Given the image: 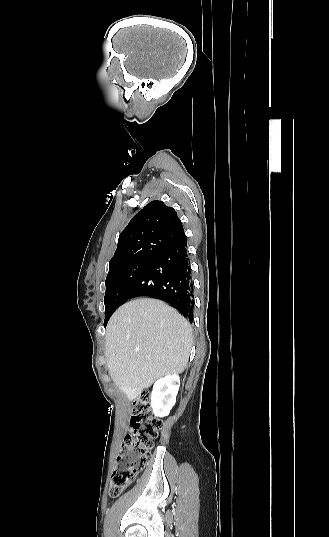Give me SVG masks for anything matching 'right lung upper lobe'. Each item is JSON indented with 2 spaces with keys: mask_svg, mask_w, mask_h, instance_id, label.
<instances>
[{
  "mask_svg": "<svg viewBox=\"0 0 329 537\" xmlns=\"http://www.w3.org/2000/svg\"><path fill=\"white\" fill-rule=\"evenodd\" d=\"M185 237L176 211L162 201L140 210L121 232L109 271L134 260H153Z\"/></svg>",
  "mask_w": 329,
  "mask_h": 537,
  "instance_id": "cb5924a9",
  "label": "right lung upper lobe"
}]
</instances>
